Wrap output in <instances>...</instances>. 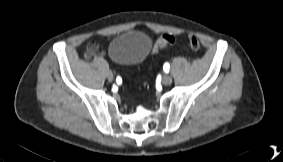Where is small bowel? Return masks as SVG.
Segmentation results:
<instances>
[{
	"instance_id": "1",
	"label": "small bowel",
	"mask_w": 283,
	"mask_h": 162,
	"mask_svg": "<svg viewBox=\"0 0 283 162\" xmlns=\"http://www.w3.org/2000/svg\"><path fill=\"white\" fill-rule=\"evenodd\" d=\"M93 50H94L93 48L90 49V51H93Z\"/></svg>"
}]
</instances>
